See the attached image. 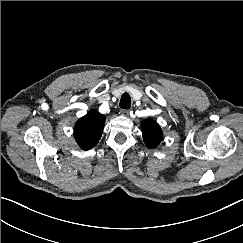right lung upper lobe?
Instances as JSON below:
<instances>
[{
  "label": "right lung upper lobe",
  "instance_id": "1",
  "mask_svg": "<svg viewBox=\"0 0 243 243\" xmlns=\"http://www.w3.org/2000/svg\"><path fill=\"white\" fill-rule=\"evenodd\" d=\"M105 117L96 111H90L80 118L74 127V137L83 150L94 147L101 138Z\"/></svg>",
  "mask_w": 243,
  "mask_h": 243
}]
</instances>
